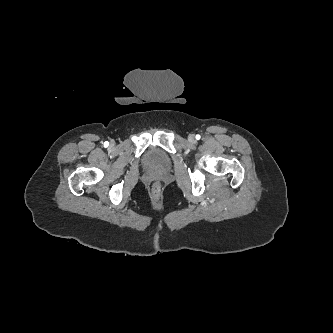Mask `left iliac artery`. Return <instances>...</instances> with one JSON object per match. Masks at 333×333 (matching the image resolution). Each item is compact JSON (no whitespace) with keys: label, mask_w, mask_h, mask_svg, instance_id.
<instances>
[{"label":"left iliac artery","mask_w":333,"mask_h":333,"mask_svg":"<svg viewBox=\"0 0 333 333\" xmlns=\"http://www.w3.org/2000/svg\"><path fill=\"white\" fill-rule=\"evenodd\" d=\"M196 139H198V140H199V139H200V135H196Z\"/></svg>","instance_id":"left-iliac-artery-1"}]
</instances>
